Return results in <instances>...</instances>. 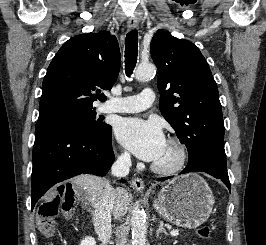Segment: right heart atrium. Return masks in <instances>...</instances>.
<instances>
[{
	"mask_svg": "<svg viewBox=\"0 0 266 245\" xmlns=\"http://www.w3.org/2000/svg\"><path fill=\"white\" fill-rule=\"evenodd\" d=\"M120 157L121 159L126 160L128 158V154L126 152H122Z\"/></svg>",
	"mask_w": 266,
	"mask_h": 245,
	"instance_id": "right-heart-atrium-1",
	"label": "right heart atrium"
}]
</instances>
